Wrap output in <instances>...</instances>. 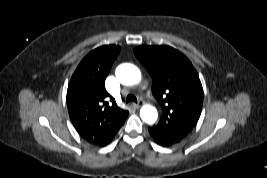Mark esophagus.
<instances>
[{
	"label": "esophagus",
	"instance_id": "34e87169",
	"mask_svg": "<svg viewBox=\"0 0 267 178\" xmlns=\"http://www.w3.org/2000/svg\"><path fill=\"white\" fill-rule=\"evenodd\" d=\"M143 105V101H139L137 104H134L135 108H140Z\"/></svg>",
	"mask_w": 267,
	"mask_h": 178
}]
</instances>
